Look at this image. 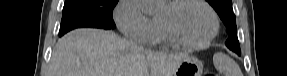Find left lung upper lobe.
<instances>
[{
  "instance_id": "left-lung-upper-lobe-1",
  "label": "left lung upper lobe",
  "mask_w": 287,
  "mask_h": 76,
  "mask_svg": "<svg viewBox=\"0 0 287 76\" xmlns=\"http://www.w3.org/2000/svg\"><path fill=\"white\" fill-rule=\"evenodd\" d=\"M207 2L216 10L226 26V31L229 34V38L225 43L226 46L236 53L240 52L232 0H207Z\"/></svg>"
}]
</instances>
